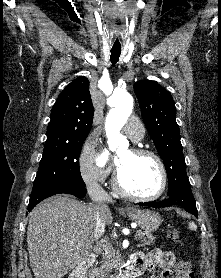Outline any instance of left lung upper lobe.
<instances>
[{
  "label": "left lung upper lobe",
  "instance_id": "1",
  "mask_svg": "<svg viewBox=\"0 0 221 278\" xmlns=\"http://www.w3.org/2000/svg\"><path fill=\"white\" fill-rule=\"evenodd\" d=\"M134 91L148 133L163 159L168 176V195H171L178 187L189 184L174 100L156 81H138L134 84Z\"/></svg>",
  "mask_w": 221,
  "mask_h": 278
}]
</instances>
